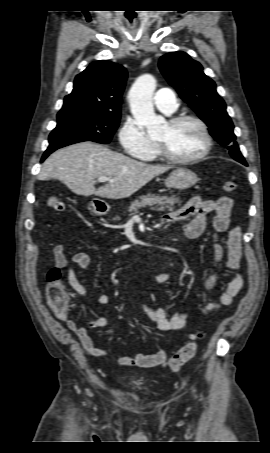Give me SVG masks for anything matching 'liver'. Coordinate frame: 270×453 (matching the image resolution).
<instances>
[{
    "instance_id": "liver-1",
    "label": "liver",
    "mask_w": 270,
    "mask_h": 453,
    "mask_svg": "<svg viewBox=\"0 0 270 453\" xmlns=\"http://www.w3.org/2000/svg\"><path fill=\"white\" fill-rule=\"evenodd\" d=\"M171 166L150 165L114 152L100 144L81 142L57 150L43 164L39 180L55 178L73 193L102 198H127ZM101 176L114 180L95 189Z\"/></svg>"
}]
</instances>
